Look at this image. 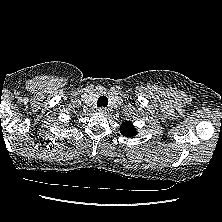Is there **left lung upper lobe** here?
Instances as JSON below:
<instances>
[{"mask_svg":"<svg viewBox=\"0 0 222 222\" xmlns=\"http://www.w3.org/2000/svg\"><path fill=\"white\" fill-rule=\"evenodd\" d=\"M120 132L126 137H132L137 133L136 129L132 126V123L130 121H125L122 123L120 127Z\"/></svg>","mask_w":222,"mask_h":222,"instance_id":"obj_1","label":"left lung upper lobe"}]
</instances>
